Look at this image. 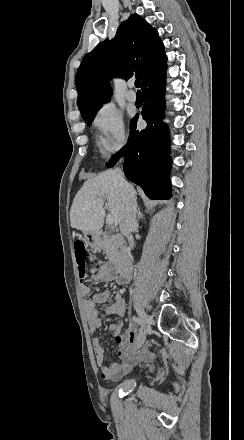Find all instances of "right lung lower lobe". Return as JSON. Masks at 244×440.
<instances>
[{
	"instance_id": "obj_1",
	"label": "right lung lower lobe",
	"mask_w": 244,
	"mask_h": 440,
	"mask_svg": "<svg viewBox=\"0 0 244 440\" xmlns=\"http://www.w3.org/2000/svg\"><path fill=\"white\" fill-rule=\"evenodd\" d=\"M166 64L152 72L143 82L144 106L141 111L147 127L136 128L138 116L130 121V136L127 144L109 161L114 166L124 157L126 177L139 185L151 199H169L171 188L168 172L169 138L164 113V89Z\"/></svg>"
}]
</instances>
